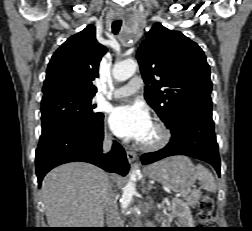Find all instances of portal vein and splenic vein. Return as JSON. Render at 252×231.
<instances>
[{"mask_svg":"<svg viewBox=\"0 0 252 231\" xmlns=\"http://www.w3.org/2000/svg\"><path fill=\"white\" fill-rule=\"evenodd\" d=\"M177 197H184V196H186V193L184 192V193H179V194H177L176 195Z\"/></svg>","mask_w":252,"mask_h":231,"instance_id":"obj_1","label":"portal vein and splenic vein"}]
</instances>
